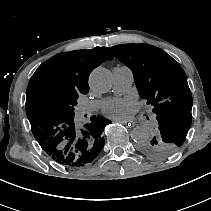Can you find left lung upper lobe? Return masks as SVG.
I'll use <instances>...</instances> for the list:
<instances>
[{
  "mask_svg": "<svg viewBox=\"0 0 211 211\" xmlns=\"http://www.w3.org/2000/svg\"><path fill=\"white\" fill-rule=\"evenodd\" d=\"M108 49L132 70L140 97L153 108L159 131L141 150L154 157L175 153L185 142L192 121V95L184 70L165 51L149 44Z\"/></svg>",
  "mask_w": 211,
  "mask_h": 211,
  "instance_id": "5c2ea615",
  "label": "left lung upper lobe"
}]
</instances>
